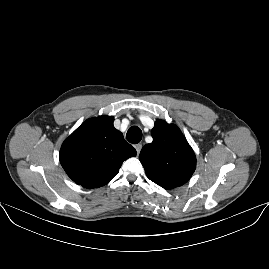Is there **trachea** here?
<instances>
[{"mask_svg": "<svg viewBox=\"0 0 269 269\" xmlns=\"http://www.w3.org/2000/svg\"><path fill=\"white\" fill-rule=\"evenodd\" d=\"M126 137L130 143H139L142 139V131L139 127L132 126L131 128H129Z\"/></svg>", "mask_w": 269, "mask_h": 269, "instance_id": "obj_1", "label": "trachea"}]
</instances>
